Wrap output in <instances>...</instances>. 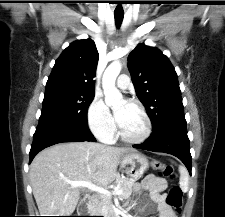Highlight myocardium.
Here are the masks:
<instances>
[{
	"label": "myocardium",
	"mask_w": 225,
	"mask_h": 217,
	"mask_svg": "<svg viewBox=\"0 0 225 217\" xmlns=\"http://www.w3.org/2000/svg\"><path fill=\"white\" fill-rule=\"evenodd\" d=\"M128 103H130L131 105L136 107L139 110V112L141 113L143 120H144V129H143V132L139 136L130 137V136L125 135L123 133V131L121 130L120 125H118V135H119L120 139L126 143L139 144V143L146 141L149 138V136L151 135V132H152L151 119H150L145 107L139 101H137L135 99H129Z\"/></svg>",
	"instance_id": "1"
}]
</instances>
